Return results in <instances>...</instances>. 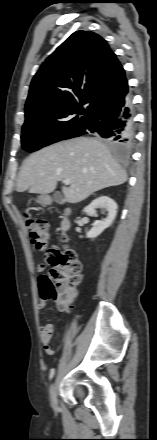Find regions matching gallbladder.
<instances>
[{
	"mask_svg": "<svg viewBox=\"0 0 157 440\" xmlns=\"http://www.w3.org/2000/svg\"><path fill=\"white\" fill-rule=\"evenodd\" d=\"M53 197H54L55 201H57V202H62L63 201V196L58 191L53 194Z\"/></svg>",
	"mask_w": 157,
	"mask_h": 440,
	"instance_id": "1",
	"label": "gallbladder"
}]
</instances>
